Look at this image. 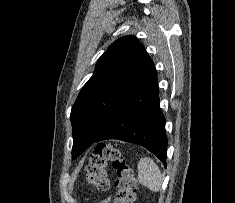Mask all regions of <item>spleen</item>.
Listing matches in <instances>:
<instances>
[{
    "instance_id": "obj_1",
    "label": "spleen",
    "mask_w": 235,
    "mask_h": 203,
    "mask_svg": "<svg viewBox=\"0 0 235 203\" xmlns=\"http://www.w3.org/2000/svg\"><path fill=\"white\" fill-rule=\"evenodd\" d=\"M137 169L140 184L152 191H159L161 189L163 181L162 174L153 159L149 157L141 158L138 162Z\"/></svg>"
}]
</instances>
